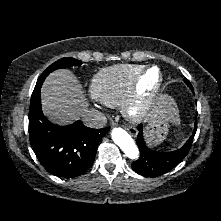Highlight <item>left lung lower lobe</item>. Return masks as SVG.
<instances>
[{
  "label": "left lung lower lobe",
  "mask_w": 221,
  "mask_h": 221,
  "mask_svg": "<svg viewBox=\"0 0 221 221\" xmlns=\"http://www.w3.org/2000/svg\"><path fill=\"white\" fill-rule=\"evenodd\" d=\"M139 133L136 143L140 151L139 158L132 163V169L146 177L163 175L175 168L188 154L197 130L195 122L194 131L187 142L178 150L172 152H157L147 147L143 137V127L138 126Z\"/></svg>",
  "instance_id": "obj_1"
}]
</instances>
